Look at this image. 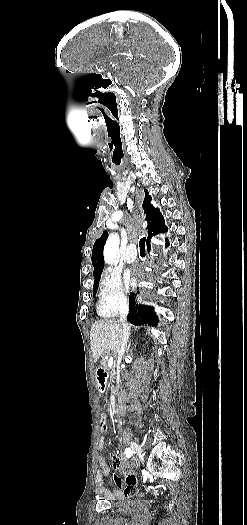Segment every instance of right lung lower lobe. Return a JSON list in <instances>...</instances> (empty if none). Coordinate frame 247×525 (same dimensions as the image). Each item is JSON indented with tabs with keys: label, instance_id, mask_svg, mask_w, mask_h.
I'll list each match as a JSON object with an SVG mask.
<instances>
[{
	"label": "right lung lower lobe",
	"instance_id": "98d812e1",
	"mask_svg": "<svg viewBox=\"0 0 247 525\" xmlns=\"http://www.w3.org/2000/svg\"><path fill=\"white\" fill-rule=\"evenodd\" d=\"M159 231H167V227L164 225L160 229H158L155 233H153L151 236L147 239V250L150 251V238L157 234ZM169 243L166 241V246H168ZM138 306L135 303V294L130 293L129 298V315L128 320L131 323L135 324H141V323H149V324H156L158 322V318L156 314L154 313V309L149 306H140L139 310H137ZM141 315V316H140ZM140 316V318H137Z\"/></svg>",
	"mask_w": 247,
	"mask_h": 525
}]
</instances>
